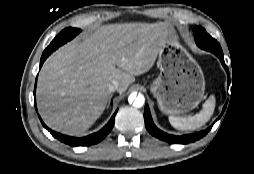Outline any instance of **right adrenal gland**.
<instances>
[{"label": "right adrenal gland", "mask_w": 254, "mask_h": 174, "mask_svg": "<svg viewBox=\"0 0 254 174\" xmlns=\"http://www.w3.org/2000/svg\"><path fill=\"white\" fill-rule=\"evenodd\" d=\"M112 94L110 95V97H109V100H108V104H107V109L109 108V106H110V102H111V98H112Z\"/></svg>", "instance_id": "right-adrenal-gland-1"}]
</instances>
